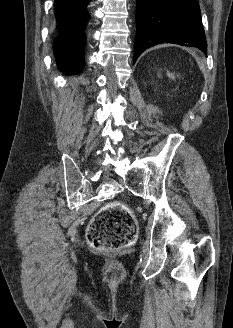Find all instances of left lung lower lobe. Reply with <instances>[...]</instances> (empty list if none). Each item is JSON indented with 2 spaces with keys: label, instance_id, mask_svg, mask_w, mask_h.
I'll list each match as a JSON object with an SVG mask.
<instances>
[{
  "label": "left lung lower lobe",
  "instance_id": "obj_1",
  "mask_svg": "<svg viewBox=\"0 0 233 328\" xmlns=\"http://www.w3.org/2000/svg\"><path fill=\"white\" fill-rule=\"evenodd\" d=\"M134 62L159 43L197 46L207 52L197 0H136Z\"/></svg>",
  "mask_w": 233,
  "mask_h": 328
}]
</instances>
